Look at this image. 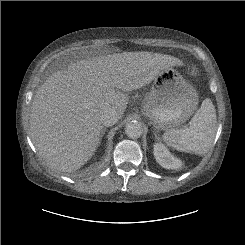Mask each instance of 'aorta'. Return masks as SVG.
Segmentation results:
<instances>
[{"instance_id": "762f6f07", "label": "aorta", "mask_w": 245, "mask_h": 245, "mask_svg": "<svg viewBox=\"0 0 245 245\" xmlns=\"http://www.w3.org/2000/svg\"><path fill=\"white\" fill-rule=\"evenodd\" d=\"M125 133L129 138H139L143 133V128L140 122L131 121L125 126Z\"/></svg>"}]
</instances>
